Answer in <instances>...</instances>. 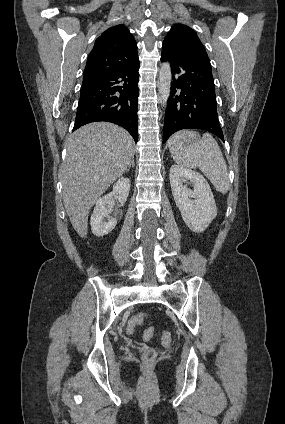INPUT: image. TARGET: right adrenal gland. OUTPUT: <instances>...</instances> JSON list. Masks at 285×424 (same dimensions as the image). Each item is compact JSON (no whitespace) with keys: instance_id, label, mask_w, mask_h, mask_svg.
Segmentation results:
<instances>
[{"instance_id":"1","label":"right adrenal gland","mask_w":285,"mask_h":424,"mask_svg":"<svg viewBox=\"0 0 285 424\" xmlns=\"http://www.w3.org/2000/svg\"><path fill=\"white\" fill-rule=\"evenodd\" d=\"M131 166L132 167H134L135 166V164H134V158L132 159V161H131V164L128 166V168L126 169V172H128L129 171V169L131 168Z\"/></svg>"}]
</instances>
